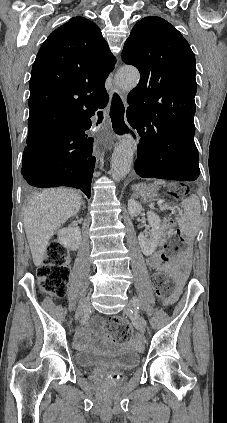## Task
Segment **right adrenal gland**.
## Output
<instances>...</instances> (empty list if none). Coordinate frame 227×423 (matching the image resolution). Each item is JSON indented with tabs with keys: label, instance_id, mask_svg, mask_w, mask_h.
I'll return each instance as SVG.
<instances>
[{
	"label": "right adrenal gland",
	"instance_id": "obj_1",
	"mask_svg": "<svg viewBox=\"0 0 227 423\" xmlns=\"http://www.w3.org/2000/svg\"><path fill=\"white\" fill-rule=\"evenodd\" d=\"M82 206H83V210H85L86 206H85V202H81Z\"/></svg>",
	"mask_w": 227,
	"mask_h": 423
}]
</instances>
